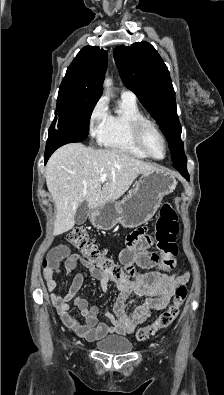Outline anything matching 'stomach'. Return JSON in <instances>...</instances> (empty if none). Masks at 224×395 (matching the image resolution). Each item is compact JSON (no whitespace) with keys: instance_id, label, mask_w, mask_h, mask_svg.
Segmentation results:
<instances>
[{"instance_id":"0dacf381","label":"stomach","mask_w":224,"mask_h":395,"mask_svg":"<svg viewBox=\"0 0 224 395\" xmlns=\"http://www.w3.org/2000/svg\"><path fill=\"white\" fill-rule=\"evenodd\" d=\"M177 185L175 175L166 169L142 173L136 187L121 201L106 202L90 214L92 225L110 230L117 223L125 228H135L149 221L161 205L165 195Z\"/></svg>"}]
</instances>
